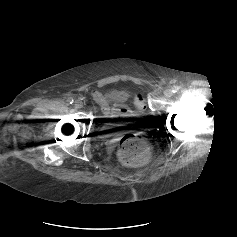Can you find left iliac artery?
Wrapping results in <instances>:
<instances>
[{
    "label": "left iliac artery",
    "instance_id": "44dca946",
    "mask_svg": "<svg viewBox=\"0 0 237 237\" xmlns=\"http://www.w3.org/2000/svg\"><path fill=\"white\" fill-rule=\"evenodd\" d=\"M178 91H179V87L178 86L175 85V86L172 87V92L173 93H177Z\"/></svg>",
    "mask_w": 237,
    "mask_h": 237
}]
</instances>
